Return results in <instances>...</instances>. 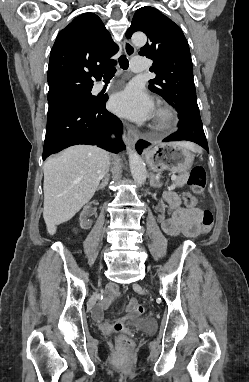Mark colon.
Segmentation results:
<instances>
[{"instance_id": "colon-1", "label": "colon", "mask_w": 249, "mask_h": 382, "mask_svg": "<svg viewBox=\"0 0 249 382\" xmlns=\"http://www.w3.org/2000/svg\"><path fill=\"white\" fill-rule=\"evenodd\" d=\"M207 182V177H206V171L203 167L201 166H195L192 168L189 174L188 178V184L192 188V191L194 194H200ZM194 194L191 193H185L183 196L184 204L187 208H193L196 206L197 200ZM213 214L209 209H205L203 211L202 215V232L203 233H208L212 226H213ZM132 312L135 315L141 316L144 315L145 313V308L142 305H135L132 308ZM117 342L121 348V354L123 352L129 353L131 348H132V341L131 339L124 334H121L117 337Z\"/></svg>"}]
</instances>
